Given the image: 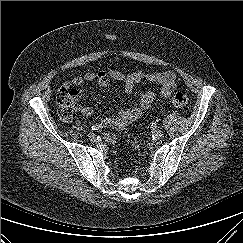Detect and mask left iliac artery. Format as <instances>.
<instances>
[{"mask_svg": "<svg viewBox=\"0 0 243 243\" xmlns=\"http://www.w3.org/2000/svg\"><path fill=\"white\" fill-rule=\"evenodd\" d=\"M151 128H153V129H154V128H157V124H156V123H152V124H151Z\"/></svg>", "mask_w": 243, "mask_h": 243, "instance_id": "44dca946", "label": "left iliac artery"}]
</instances>
